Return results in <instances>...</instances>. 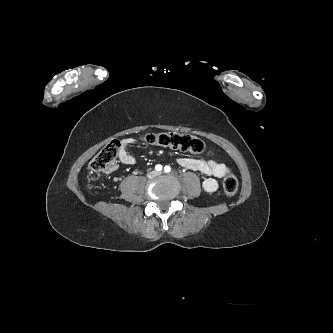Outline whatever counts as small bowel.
Returning <instances> with one entry per match:
<instances>
[{"mask_svg": "<svg viewBox=\"0 0 333 333\" xmlns=\"http://www.w3.org/2000/svg\"><path fill=\"white\" fill-rule=\"evenodd\" d=\"M135 143L134 138H124L120 142L119 160L124 165H134L135 158L130 153V147ZM177 163L186 169L200 172L207 177L203 180L202 186L205 192L214 193L218 189L217 179L225 176L229 168L216 159H197L190 157H179Z\"/></svg>", "mask_w": 333, "mask_h": 333, "instance_id": "c3829d8e", "label": "small bowel"}]
</instances>
